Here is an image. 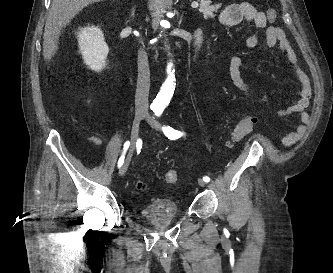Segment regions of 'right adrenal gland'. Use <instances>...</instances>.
Segmentation results:
<instances>
[{"instance_id": "2a0ac1e0", "label": "right adrenal gland", "mask_w": 333, "mask_h": 273, "mask_svg": "<svg viewBox=\"0 0 333 273\" xmlns=\"http://www.w3.org/2000/svg\"><path fill=\"white\" fill-rule=\"evenodd\" d=\"M134 13H135V9H134V8H132V9H131V17H133V16H134Z\"/></svg>"}]
</instances>
